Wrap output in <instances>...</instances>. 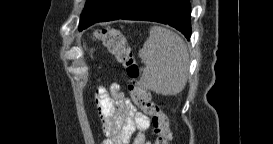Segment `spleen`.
Listing matches in <instances>:
<instances>
[{
    "instance_id": "obj_1",
    "label": "spleen",
    "mask_w": 273,
    "mask_h": 144,
    "mask_svg": "<svg viewBox=\"0 0 273 144\" xmlns=\"http://www.w3.org/2000/svg\"><path fill=\"white\" fill-rule=\"evenodd\" d=\"M139 57L145 64L141 82L162 95H177L186 83L189 55L184 40L173 31L153 26Z\"/></svg>"
}]
</instances>
